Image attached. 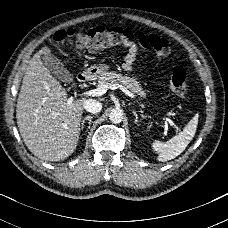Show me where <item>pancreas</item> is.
I'll use <instances>...</instances> for the list:
<instances>
[{"label":"pancreas","instance_id":"1","mask_svg":"<svg viewBox=\"0 0 228 228\" xmlns=\"http://www.w3.org/2000/svg\"><path fill=\"white\" fill-rule=\"evenodd\" d=\"M99 85H105L109 87L112 84H122L128 88L132 94L144 98L145 92L141 89L140 85L129 76H124L115 71L106 72L99 77Z\"/></svg>","mask_w":228,"mask_h":228}]
</instances>
